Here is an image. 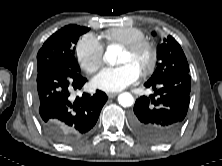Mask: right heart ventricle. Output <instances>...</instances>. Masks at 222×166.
I'll return each instance as SVG.
<instances>
[{
    "label": "right heart ventricle",
    "mask_w": 222,
    "mask_h": 166,
    "mask_svg": "<svg viewBox=\"0 0 222 166\" xmlns=\"http://www.w3.org/2000/svg\"><path fill=\"white\" fill-rule=\"evenodd\" d=\"M104 37L113 43L128 46L145 40L144 33L135 27L112 28L105 32Z\"/></svg>",
    "instance_id": "obj_1"
}]
</instances>
